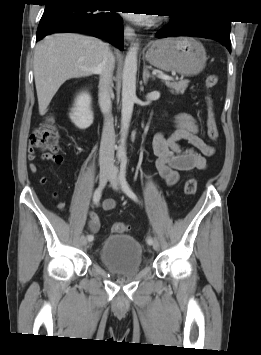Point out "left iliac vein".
<instances>
[{"label": "left iliac vein", "instance_id": "1", "mask_svg": "<svg viewBox=\"0 0 261 355\" xmlns=\"http://www.w3.org/2000/svg\"><path fill=\"white\" fill-rule=\"evenodd\" d=\"M109 181H110V184L113 189L119 190V186H120L121 181H120V176L118 174V169L115 166H113L111 169V175H110ZM152 246L155 250L159 249V243L156 239L153 241Z\"/></svg>", "mask_w": 261, "mask_h": 355}]
</instances>
